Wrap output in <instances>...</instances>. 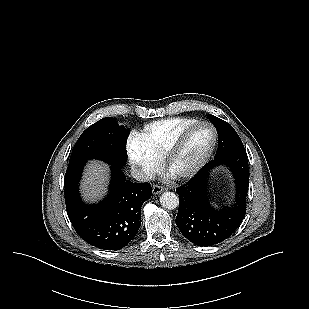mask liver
Wrapping results in <instances>:
<instances>
[{
    "mask_svg": "<svg viewBox=\"0 0 309 309\" xmlns=\"http://www.w3.org/2000/svg\"><path fill=\"white\" fill-rule=\"evenodd\" d=\"M109 178L107 166L99 161L87 165L82 182V194L85 200L95 201L103 196Z\"/></svg>",
    "mask_w": 309,
    "mask_h": 309,
    "instance_id": "6515ba94",
    "label": "liver"
}]
</instances>
